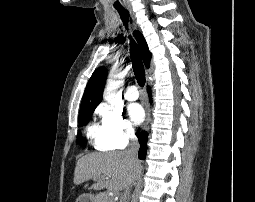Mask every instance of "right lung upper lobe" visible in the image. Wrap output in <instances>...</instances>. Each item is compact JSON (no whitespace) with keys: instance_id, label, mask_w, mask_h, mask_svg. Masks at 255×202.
<instances>
[{"instance_id":"right-lung-upper-lobe-1","label":"right lung upper lobe","mask_w":255,"mask_h":202,"mask_svg":"<svg viewBox=\"0 0 255 202\" xmlns=\"http://www.w3.org/2000/svg\"><path fill=\"white\" fill-rule=\"evenodd\" d=\"M134 36L138 42L142 59L146 67H149L151 60V53L148 50L147 43L143 35L139 31L134 32ZM107 77V70L105 67H100L94 71L89 79L81 103V109L96 108L102 100V93Z\"/></svg>"}]
</instances>
